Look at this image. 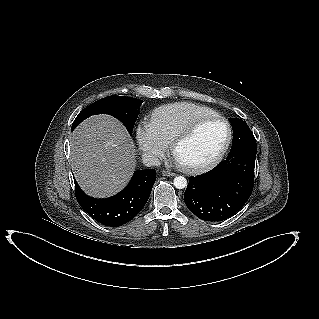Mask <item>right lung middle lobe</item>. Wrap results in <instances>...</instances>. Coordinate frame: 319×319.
Here are the masks:
<instances>
[{
    "label": "right lung middle lobe",
    "instance_id": "right-lung-middle-lobe-1",
    "mask_svg": "<svg viewBox=\"0 0 319 319\" xmlns=\"http://www.w3.org/2000/svg\"><path fill=\"white\" fill-rule=\"evenodd\" d=\"M142 102L140 99L124 96L105 97L83 109L74 120L71 130L91 115L109 114L120 119L129 133L132 134Z\"/></svg>",
    "mask_w": 319,
    "mask_h": 319
}]
</instances>
